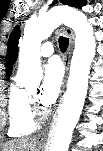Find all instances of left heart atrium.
I'll use <instances>...</instances> for the list:
<instances>
[{
    "label": "left heart atrium",
    "mask_w": 103,
    "mask_h": 151,
    "mask_svg": "<svg viewBox=\"0 0 103 151\" xmlns=\"http://www.w3.org/2000/svg\"><path fill=\"white\" fill-rule=\"evenodd\" d=\"M63 79L62 68L57 61H50L44 68V80L39 92V102L48 107L59 94Z\"/></svg>",
    "instance_id": "1"
}]
</instances>
